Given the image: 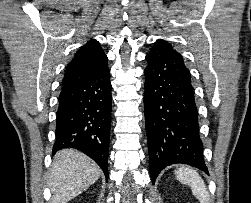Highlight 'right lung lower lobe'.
<instances>
[{
	"label": "right lung lower lobe",
	"instance_id": "right-lung-lower-lobe-1",
	"mask_svg": "<svg viewBox=\"0 0 251 203\" xmlns=\"http://www.w3.org/2000/svg\"><path fill=\"white\" fill-rule=\"evenodd\" d=\"M107 64L61 91L53 154L75 148L91 157L108 179L111 128V84Z\"/></svg>",
	"mask_w": 251,
	"mask_h": 203
}]
</instances>
